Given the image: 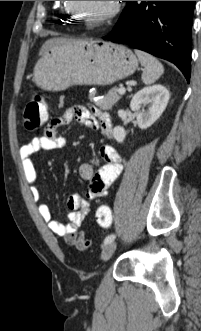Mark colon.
<instances>
[{
    "label": "colon",
    "instance_id": "obj_1",
    "mask_svg": "<svg viewBox=\"0 0 201 331\" xmlns=\"http://www.w3.org/2000/svg\"><path fill=\"white\" fill-rule=\"evenodd\" d=\"M25 126L28 130L41 128L48 119L46 106L39 96L32 98L25 106L23 115ZM96 221L99 226L108 228L112 224V211L107 205H100L96 211ZM91 245V240L81 238L77 240L78 249H86Z\"/></svg>",
    "mask_w": 201,
    "mask_h": 331
}]
</instances>
